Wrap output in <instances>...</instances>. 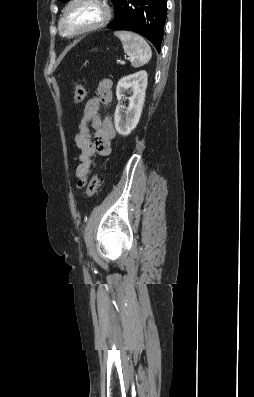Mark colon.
<instances>
[{"instance_id":"1","label":"colon","mask_w":254,"mask_h":397,"mask_svg":"<svg viewBox=\"0 0 254 397\" xmlns=\"http://www.w3.org/2000/svg\"><path fill=\"white\" fill-rule=\"evenodd\" d=\"M86 92L85 88L82 84L80 83H75L74 84V95H73V101L75 104H80L84 98H85ZM102 180L99 177L98 174L93 175L91 178L88 187H87V195L89 197H92L96 195L100 188H101Z\"/></svg>"}]
</instances>
